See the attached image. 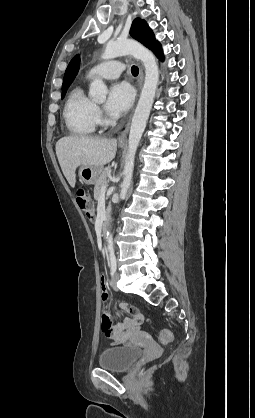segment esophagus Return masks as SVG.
Returning <instances> with one entry per match:
<instances>
[{
  "mask_svg": "<svg viewBox=\"0 0 255 418\" xmlns=\"http://www.w3.org/2000/svg\"><path fill=\"white\" fill-rule=\"evenodd\" d=\"M142 83H143V69L142 67L140 68V73H139V89H141L142 87ZM130 119L128 120L125 128L121 131V133L119 134L118 137V142L120 144H124L127 141V130H128V125H129Z\"/></svg>",
  "mask_w": 255,
  "mask_h": 418,
  "instance_id": "34e87169",
  "label": "esophagus"
}]
</instances>
